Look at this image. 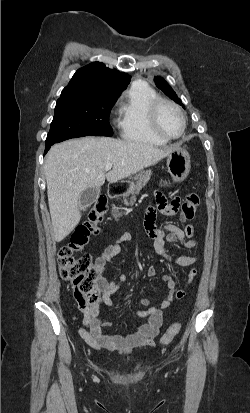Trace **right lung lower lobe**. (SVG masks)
Instances as JSON below:
<instances>
[{
	"label": "right lung lower lobe",
	"mask_w": 250,
	"mask_h": 413,
	"mask_svg": "<svg viewBox=\"0 0 250 413\" xmlns=\"http://www.w3.org/2000/svg\"><path fill=\"white\" fill-rule=\"evenodd\" d=\"M83 136H88V135H76V136H73V137H69V138L62 139L61 141H64V140H67V139H70V138L83 137ZM61 141H59V142H61ZM57 143H58V142H57ZM52 145H53V144H51V145H46L45 153H47V151L50 149V147H51Z\"/></svg>",
	"instance_id": "1"
}]
</instances>
